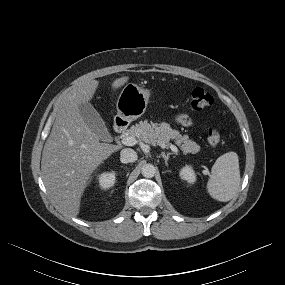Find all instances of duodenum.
I'll use <instances>...</instances> for the list:
<instances>
[{"mask_svg": "<svg viewBox=\"0 0 285 285\" xmlns=\"http://www.w3.org/2000/svg\"><path fill=\"white\" fill-rule=\"evenodd\" d=\"M114 128L117 133H123L127 128V122L122 118H117L114 123Z\"/></svg>", "mask_w": 285, "mask_h": 285, "instance_id": "obj_1", "label": "duodenum"}]
</instances>
